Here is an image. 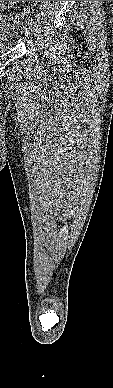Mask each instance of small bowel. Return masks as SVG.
Instances as JSON below:
<instances>
[{
	"label": "small bowel",
	"mask_w": 113,
	"mask_h": 388,
	"mask_svg": "<svg viewBox=\"0 0 113 388\" xmlns=\"http://www.w3.org/2000/svg\"><path fill=\"white\" fill-rule=\"evenodd\" d=\"M15 1H1L0 2V21H5L2 12L7 8H12L14 6Z\"/></svg>",
	"instance_id": "small-bowel-1"
}]
</instances>
